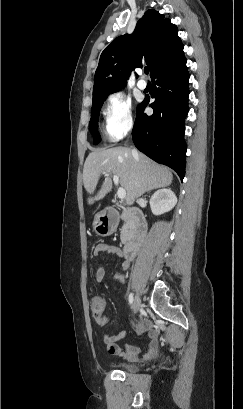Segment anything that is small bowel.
<instances>
[{
	"instance_id": "c3829d8e",
	"label": "small bowel",
	"mask_w": 243,
	"mask_h": 409,
	"mask_svg": "<svg viewBox=\"0 0 243 409\" xmlns=\"http://www.w3.org/2000/svg\"><path fill=\"white\" fill-rule=\"evenodd\" d=\"M104 254H111L118 257H124V253L122 250L110 244H98L95 246L93 250V257L96 263V272H95V281L97 283L102 282L105 271L103 266L101 265V257ZM130 267V263L128 260H124L121 263V268L123 270H127ZM114 279L119 283H125L126 277L122 273H115ZM103 299V298H102ZM103 308L96 310L94 312V320L98 327L104 328L107 324V316L105 312L106 303L103 299ZM146 333L149 337V344L145 353L142 352V349L138 346L125 344L120 346L117 344V341L125 337V332L120 331L114 335H103V342L106 345L107 351L110 354L119 356L124 358L126 361L135 362L139 359L142 360H152L160 356V337L157 331H155L149 321H143L137 327V334L141 335Z\"/></svg>"
}]
</instances>
